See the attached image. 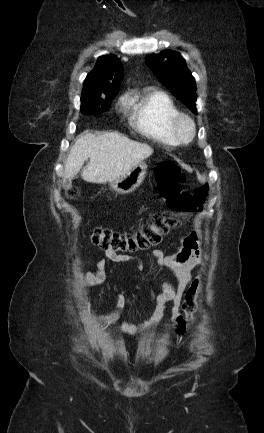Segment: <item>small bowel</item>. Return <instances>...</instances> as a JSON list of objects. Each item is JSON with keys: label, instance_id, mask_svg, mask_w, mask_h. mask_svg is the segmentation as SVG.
<instances>
[{"label": "small bowel", "instance_id": "obj_1", "mask_svg": "<svg viewBox=\"0 0 264 433\" xmlns=\"http://www.w3.org/2000/svg\"><path fill=\"white\" fill-rule=\"evenodd\" d=\"M151 256L156 259L158 265L173 273L178 280L176 288L165 281L161 286V293L156 295L153 289L150 290L152 298V311L145 321L140 324L134 321H123L119 325H115L118 321L121 310L127 303V295L124 292L117 294L116 303L113 310L104 317H99V322L110 329L120 331L127 335H137L149 331L156 327L162 319L165 309L170 304L172 322H173V339L178 340L186 329L185 318L179 313V305L182 296L192 279L193 270L202 262V249L196 234L188 235L181 239L180 246L177 252L172 255H165L160 250H154ZM107 260L116 263L124 264L133 262L138 270L142 269L140 261L132 256L113 254L105 252L97 262V269L95 272L79 273L78 281L91 286H97L104 282L106 278V263Z\"/></svg>", "mask_w": 264, "mask_h": 433}]
</instances>
